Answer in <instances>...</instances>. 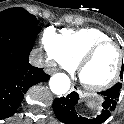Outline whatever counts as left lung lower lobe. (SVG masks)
I'll use <instances>...</instances> for the list:
<instances>
[{"label": "left lung lower lobe", "mask_w": 124, "mask_h": 124, "mask_svg": "<svg viewBox=\"0 0 124 124\" xmlns=\"http://www.w3.org/2000/svg\"><path fill=\"white\" fill-rule=\"evenodd\" d=\"M121 83L115 84L106 91L98 94L103 98L101 114L96 118H85L78 114L76 106L79 95L73 91L66 97L56 98L53 101V110L56 117L65 124H101L106 121L115 110L120 96Z\"/></svg>", "instance_id": "left-lung-lower-lobe-1"}]
</instances>
